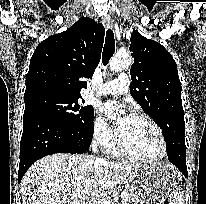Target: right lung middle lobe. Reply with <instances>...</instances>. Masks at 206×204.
I'll return each mask as SVG.
<instances>
[{"mask_svg":"<svg viewBox=\"0 0 206 204\" xmlns=\"http://www.w3.org/2000/svg\"><path fill=\"white\" fill-rule=\"evenodd\" d=\"M80 97L42 93L25 98L24 117L45 114L71 126L90 127L93 123L94 109L90 105L80 106L78 103Z\"/></svg>","mask_w":206,"mask_h":204,"instance_id":"dd1d6c3e","label":"right lung middle lobe"}]
</instances>
